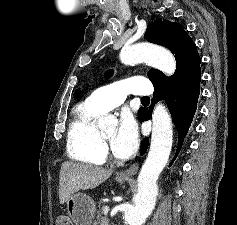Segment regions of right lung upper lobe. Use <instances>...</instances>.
I'll list each match as a JSON object with an SVG mask.
<instances>
[{
	"mask_svg": "<svg viewBox=\"0 0 237 225\" xmlns=\"http://www.w3.org/2000/svg\"><path fill=\"white\" fill-rule=\"evenodd\" d=\"M80 94H81V91L79 89L76 90L75 93H74V98L75 99L78 98L80 96Z\"/></svg>",
	"mask_w": 237,
	"mask_h": 225,
	"instance_id": "obj_1",
	"label": "right lung upper lobe"
}]
</instances>
